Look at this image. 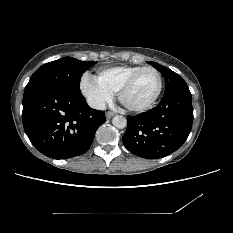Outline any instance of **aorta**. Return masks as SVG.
I'll return each instance as SVG.
<instances>
[{
    "instance_id": "1",
    "label": "aorta",
    "mask_w": 233,
    "mask_h": 233,
    "mask_svg": "<svg viewBox=\"0 0 233 233\" xmlns=\"http://www.w3.org/2000/svg\"><path fill=\"white\" fill-rule=\"evenodd\" d=\"M112 123L116 128L123 129L127 125V120L124 116L117 115L113 117Z\"/></svg>"
}]
</instances>
